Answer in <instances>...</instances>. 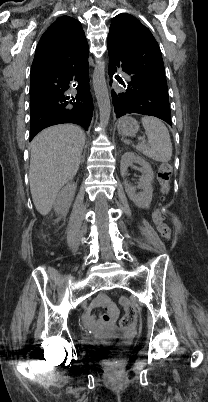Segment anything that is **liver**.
<instances>
[{
  "label": "liver",
  "instance_id": "liver-1",
  "mask_svg": "<svg viewBox=\"0 0 208 402\" xmlns=\"http://www.w3.org/2000/svg\"><path fill=\"white\" fill-rule=\"evenodd\" d=\"M84 144V132L73 124L51 126L32 140L30 192L41 216L51 212L62 186L76 176Z\"/></svg>",
  "mask_w": 208,
  "mask_h": 402
}]
</instances>
